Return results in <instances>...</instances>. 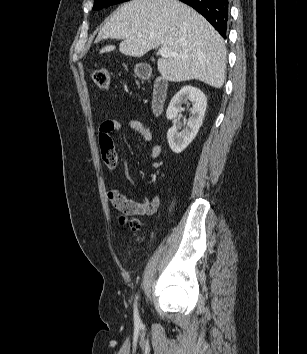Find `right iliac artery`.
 Masks as SVG:
<instances>
[{
  "label": "right iliac artery",
  "instance_id": "right-iliac-artery-1",
  "mask_svg": "<svg viewBox=\"0 0 307 354\" xmlns=\"http://www.w3.org/2000/svg\"><path fill=\"white\" fill-rule=\"evenodd\" d=\"M134 319H135V322H139L140 321L136 302H135V305H134Z\"/></svg>",
  "mask_w": 307,
  "mask_h": 354
}]
</instances>
